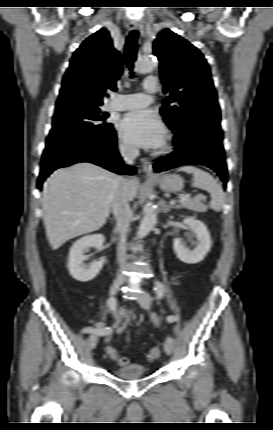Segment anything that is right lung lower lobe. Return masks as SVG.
<instances>
[{
    "label": "right lung lower lobe",
    "instance_id": "98d812e1",
    "mask_svg": "<svg viewBox=\"0 0 273 430\" xmlns=\"http://www.w3.org/2000/svg\"><path fill=\"white\" fill-rule=\"evenodd\" d=\"M116 141L114 132L107 139L89 140L44 152L38 188H41L43 181L55 169L78 162H90L117 174H135V168L123 164Z\"/></svg>",
    "mask_w": 273,
    "mask_h": 430
}]
</instances>
